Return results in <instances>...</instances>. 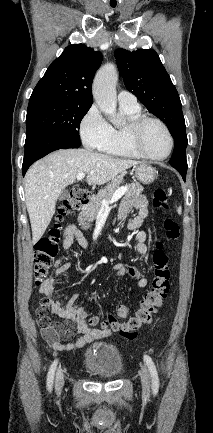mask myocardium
Wrapping results in <instances>:
<instances>
[{
    "label": "myocardium",
    "instance_id": "myocardium-1",
    "mask_svg": "<svg viewBox=\"0 0 213 433\" xmlns=\"http://www.w3.org/2000/svg\"><path fill=\"white\" fill-rule=\"evenodd\" d=\"M150 122H153V123L160 125L163 128V130L165 131V133L169 139V150L163 156H155V155L148 153L142 145V139H141L142 131H143L144 127ZM126 131H127V138H128L130 146L141 157L151 159V160L161 161V160L167 159L171 155V153L173 152L174 137L172 135V132L170 131L167 124L159 118L147 116V115H141V116H139V117H137V118H135L129 122V124L127 125Z\"/></svg>",
    "mask_w": 213,
    "mask_h": 433
}]
</instances>
